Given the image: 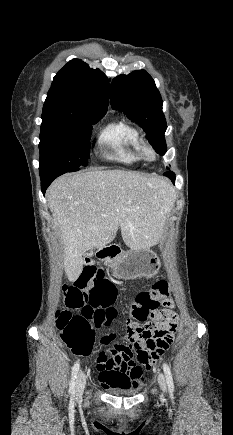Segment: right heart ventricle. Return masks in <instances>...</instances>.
Returning <instances> with one entry per match:
<instances>
[{"label":"right heart ventricle","instance_id":"1","mask_svg":"<svg viewBox=\"0 0 233 435\" xmlns=\"http://www.w3.org/2000/svg\"><path fill=\"white\" fill-rule=\"evenodd\" d=\"M100 142L110 149L111 160L127 165H138L145 160L138 131L125 121L109 123L100 134Z\"/></svg>","mask_w":233,"mask_h":435}]
</instances>
